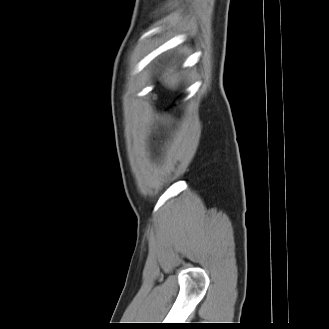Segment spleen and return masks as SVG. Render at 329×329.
Wrapping results in <instances>:
<instances>
[{
  "label": "spleen",
  "mask_w": 329,
  "mask_h": 329,
  "mask_svg": "<svg viewBox=\"0 0 329 329\" xmlns=\"http://www.w3.org/2000/svg\"><path fill=\"white\" fill-rule=\"evenodd\" d=\"M172 72H173V70L170 69L169 72L168 73L166 72L163 77L165 78L164 83L166 85H168L169 88L174 89L178 85L179 79H178V75H176V74L170 75ZM166 76H167V78H166Z\"/></svg>",
  "instance_id": "3e777b00"
}]
</instances>
